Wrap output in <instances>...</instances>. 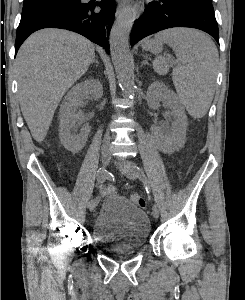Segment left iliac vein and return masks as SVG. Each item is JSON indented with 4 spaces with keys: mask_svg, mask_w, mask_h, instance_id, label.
<instances>
[{
    "mask_svg": "<svg viewBox=\"0 0 245 300\" xmlns=\"http://www.w3.org/2000/svg\"><path fill=\"white\" fill-rule=\"evenodd\" d=\"M113 163L115 166L119 168L125 165L127 167L126 174L130 179H136L141 174L140 171L137 169L136 164L131 161L115 159L113 160ZM152 215L154 216V218L159 217V210L155 204L152 206Z\"/></svg>",
    "mask_w": 245,
    "mask_h": 300,
    "instance_id": "1",
    "label": "left iliac vein"
}]
</instances>
